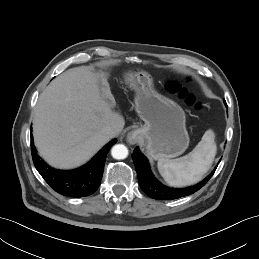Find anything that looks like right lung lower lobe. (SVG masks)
Here are the masks:
<instances>
[{
    "label": "right lung lower lobe",
    "instance_id": "obj_1",
    "mask_svg": "<svg viewBox=\"0 0 259 259\" xmlns=\"http://www.w3.org/2000/svg\"><path fill=\"white\" fill-rule=\"evenodd\" d=\"M116 142L117 139L112 140L88 164L72 171L57 170L46 164L37 154L32 137L31 153L36 169L52 189L61 195L78 198L89 196L98 189L106 154Z\"/></svg>",
    "mask_w": 259,
    "mask_h": 259
}]
</instances>
